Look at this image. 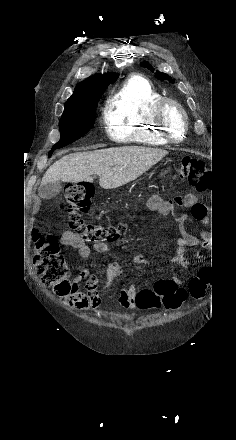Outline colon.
<instances>
[{
	"label": "colon",
	"instance_id": "colon-1",
	"mask_svg": "<svg viewBox=\"0 0 236 440\" xmlns=\"http://www.w3.org/2000/svg\"><path fill=\"white\" fill-rule=\"evenodd\" d=\"M175 179H186L188 183L199 191L209 187L210 171L204 161L186 156L176 168ZM93 194L89 183L71 185L65 188L61 206L68 210L69 225L75 235L90 243H110L115 241L126 229L123 224L102 226L87 223L82 214L88 211ZM36 251L33 259L34 266L44 284L52 287L57 295L64 298L72 291L69 280V267L60 251L58 242L53 235L34 234ZM220 279L217 276L198 275L192 278L188 290L178 286L172 280H159L153 290H142L137 304L140 309H150L151 306L161 305L166 309H177L190 294L194 299H201L205 295L207 285H217Z\"/></svg>",
	"mask_w": 236,
	"mask_h": 440
}]
</instances>
